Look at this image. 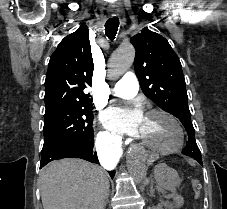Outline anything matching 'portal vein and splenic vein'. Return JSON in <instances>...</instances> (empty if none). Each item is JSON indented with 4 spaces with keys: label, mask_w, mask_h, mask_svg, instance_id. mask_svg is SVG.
I'll use <instances>...</instances> for the list:
<instances>
[{
    "label": "portal vein and splenic vein",
    "mask_w": 227,
    "mask_h": 209,
    "mask_svg": "<svg viewBox=\"0 0 227 209\" xmlns=\"http://www.w3.org/2000/svg\"><path fill=\"white\" fill-rule=\"evenodd\" d=\"M161 192L162 193H165L166 191L165 190H162ZM163 197L164 198H170L171 199L173 197V195L171 193H165Z\"/></svg>",
    "instance_id": "18ae733b"
}]
</instances>
